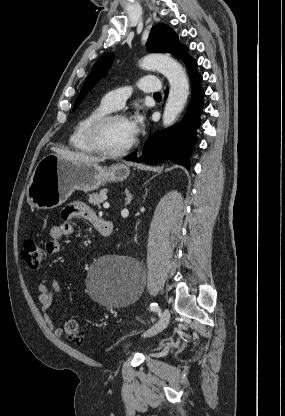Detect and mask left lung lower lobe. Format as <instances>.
I'll return each instance as SVG.
<instances>
[{"instance_id":"left-lung-lower-lobe-1","label":"left lung lower lobe","mask_w":285,"mask_h":416,"mask_svg":"<svg viewBox=\"0 0 285 416\" xmlns=\"http://www.w3.org/2000/svg\"><path fill=\"white\" fill-rule=\"evenodd\" d=\"M186 66L192 83V98L183 120L162 133L154 134L145 144L139 158L132 154L125 157V160L148 165L171 160L189 168L188 157L196 140L195 130L200 124L199 115L203 107L204 92L200 87L202 77L196 71V62L190 59ZM167 95L168 89L165 91V97Z\"/></svg>"}]
</instances>
